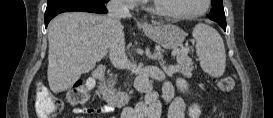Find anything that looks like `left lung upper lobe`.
Masks as SVG:
<instances>
[{
  "instance_id": "5c2ea615",
  "label": "left lung upper lobe",
  "mask_w": 273,
  "mask_h": 118,
  "mask_svg": "<svg viewBox=\"0 0 273 118\" xmlns=\"http://www.w3.org/2000/svg\"><path fill=\"white\" fill-rule=\"evenodd\" d=\"M213 6L208 18L217 23H226L222 0H211Z\"/></svg>"
}]
</instances>
